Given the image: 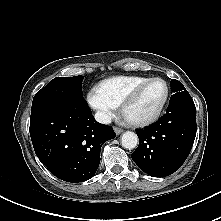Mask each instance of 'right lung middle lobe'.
Returning a JSON list of instances; mask_svg holds the SVG:
<instances>
[{"mask_svg":"<svg viewBox=\"0 0 221 221\" xmlns=\"http://www.w3.org/2000/svg\"><path fill=\"white\" fill-rule=\"evenodd\" d=\"M82 79L83 76L54 78L35 94L31 110L58 100L82 98Z\"/></svg>","mask_w":221,"mask_h":221,"instance_id":"1","label":"right lung middle lobe"}]
</instances>
